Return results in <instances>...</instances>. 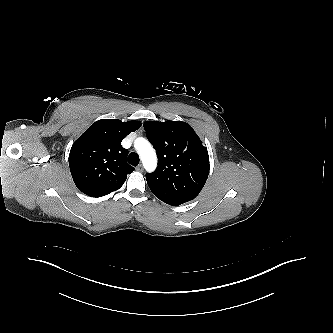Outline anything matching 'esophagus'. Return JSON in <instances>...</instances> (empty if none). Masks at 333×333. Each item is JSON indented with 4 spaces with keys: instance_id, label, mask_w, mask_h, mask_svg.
Wrapping results in <instances>:
<instances>
[{
    "instance_id": "1",
    "label": "esophagus",
    "mask_w": 333,
    "mask_h": 333,
    "mask_svg": "<svg viewBox=\"0 0 333 333\" xmlns=\"http://www.w3.org/2000/svg\"><path fill=\"white\" fill-rule=\"evenodd\" d=\"M135 169H136V171L142 172L143 171L142 164H139Z\"/></svg>"
}]
</instances>
